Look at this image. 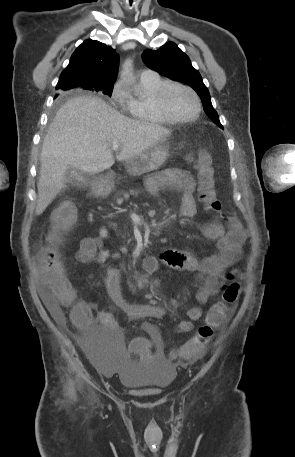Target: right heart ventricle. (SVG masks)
Returning a JSON list of instances; mask_svg holds the SVG:
<instances>
[{
	"label": "right heart ventricle",
	"instance_id": "obj_1",
	"mask_svg": "<svg viewBox=\"0 0 295 457\" xmlns=\"http://www.w3.org/2000/svg\"><path fill=\"white\" fill-rule=\"evenodd\" d=\"M165 81L157 74L150 77H141L139 94L129 96L128 112L130 116L142 123L165 124L169 122L157 109L155 94Z\"/></svg>",
	"mask_w": 295,
	"mask_h": 457
}]
</instances>
